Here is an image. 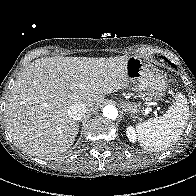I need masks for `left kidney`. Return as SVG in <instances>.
Listing matches in <instances>:
<instances>
[{
  "instance_id": "left-kidney-1",
  "label": "left kidney",
  "mask_w": 196,
  "mask_h": 196,
  "mask_svg": "<svg viewBox=\"0 0 196 196\" xmlns=\"http://www.w3.org/2000/svg\"><path fill=\"white\" fill-rule=\"evenodd\" d=\"M126 134L130 142L135 143L137 140V134L132 126L126 128Z\"/></svg>"
}]
</instances>
